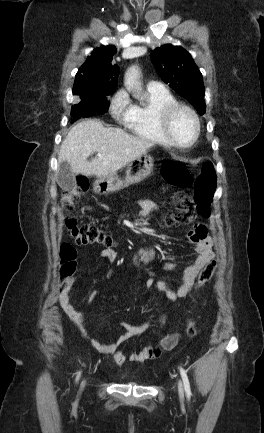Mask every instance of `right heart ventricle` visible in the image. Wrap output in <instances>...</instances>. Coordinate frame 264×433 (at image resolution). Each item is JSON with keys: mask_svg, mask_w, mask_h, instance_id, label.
Returning <instances> with one entry per match:
<instances>
[{"mask_svg": "<svg viewBox=\"0 0 264 433\" xmlns=\"http://www.w3.org/2000/svg\"><path fill=\"white\" fill-rule=\"evenodd\" d=\"M168 91H153L147 88L144 98L132 104L125 127L135 136L147 141L169 146L159 123V113L167 105L175 103Z\"/></svg>", "mask_w": 264, "mask_h": 433, "instance_id": "e07e8e85", "label": "right heart ventricle"}]
</instances>
